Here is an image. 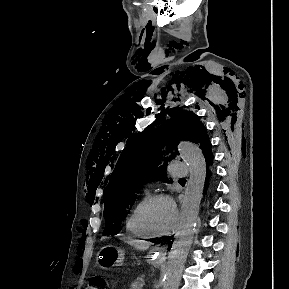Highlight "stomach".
Returning a JSON list of instances; mask_svg holds the SVG:
<instances>
[{
  "label": "stomach",
  "instance_id": "stomach-1",
  "mask_svg": "<svg viewBox=\"0 0 289 289\" xmlns=\"http://www.w3.org/2000/svg\"><path fill=\"white\" fill-rule=\"evenodd\" d=\"M124 251L116 246L107 245L98 252L97 261L100 267L106 269L120 264L124 260Z\"/></svg>",
  "mask_w": 289,
  "mask_h": 289
}]
</instances>
